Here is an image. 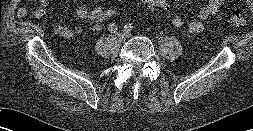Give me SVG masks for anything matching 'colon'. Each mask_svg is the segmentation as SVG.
Returning a JSON list of instances; mask_svg holds the SVG:
<instances>
[{
  "instance_id": "1",
  "label": "colon",
  "mask_w": 253,
  "mask_h": 131,
  "mask_svg": "<svg viewBox=\"0 0 253 131\" xmlns=\"http://www.w3.org/2000/svg\"><path fill=\"white\" fill-rule=\"evenodd\" d=\"M145 6L152 11L159 9H169L173 0H142ZM118 16L115 8H104L103 20L104 22H111ZM231 23L235 27H244L247 23V14L244 10H235L232 14Z\"/></svg>"
}]
</instances>
